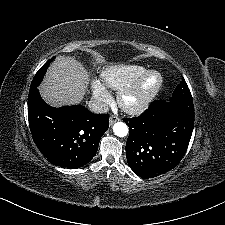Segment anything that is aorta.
Segmentation results:
<instances>
[{
    "label": "aorta",
    "instance_id": "aorta-1",
    "mask_svg": "<svg viewBox=\"0 0 225 225\" xmlns=\"http://www.w3.org/2000/svg\"><path fill=\"white\" fill-rule=\"evenodd\" d=\"M113 132L118 137H125L128 134V126L123 122H117L113 125Z\"/></svg>",
    "mask_w": 225,
    "mask_h": 225
}]
</instances>
